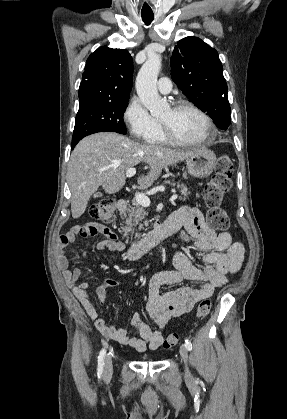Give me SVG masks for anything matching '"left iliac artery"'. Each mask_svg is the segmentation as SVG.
I'll use <instances>...</instances> for the list:
<instances>
[{
    "mask_svg": "<svg viewBox=\"0 0 287 419\" xmlns=\"http://www.w3.org/2000/svg\"><path fill=\"white\" fill-rule=\"evenodd\" d=\"M185 346L189 351L192 350V344L189 340H185Z\"/></svg>",
    "mask_w": 287,
    "mask_h": 419,
    "instance_id": "1",
    "label": "left iliac artery"
}]
</instances>
